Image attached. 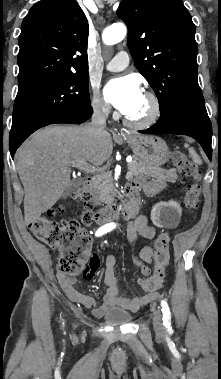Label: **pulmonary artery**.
Segmentation results:
<instances>
[{
  "instance_id": "obj_1",
  "label": "pulmonary artery",
  "mask_w": 221,
  "mask_h": 379,
  "mask_svg": "<svg viewBox=\"0 0 221 379\" xmlns=\"http://www.w3.org/2000/svg\"><path fill=\"white\" fill-rule=\"evenodd\" d=\"M129 64V55L125 51L118 52L115 57L106 64V69L112 72L124 70Z\"/></svg>"
}]
</instances>
